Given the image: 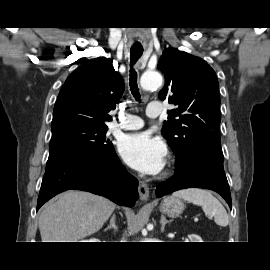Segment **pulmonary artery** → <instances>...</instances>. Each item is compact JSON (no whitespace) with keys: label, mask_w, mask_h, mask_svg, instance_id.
Returning <instances> with one entry per match:
<instances>
[{"label":"pulmonary artery","mask_w":270,"mask_h":270,"mask_svg":"<svg viewBox=\"0 0 270 270\" xmlns=\"http://www.w3.org/2000/svg\"><path fill=\"white\" fill-rule=\"evenodd\" d=\"M162 113L160 103H152L147 107L146 114L149 118H158ZM144 126L143 120L136 115H126L122 122L116 125L119 129L124 130H137Z\"/></svg>","instance_id":"e3ab8cb5"}]
</instances>
